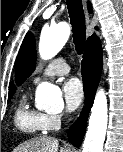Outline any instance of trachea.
Returning a JSON list of instances; mask_svg holds the SVG:
<instances>
[{"mask_svg":"<svg viewBox=\"0 0 123 152\" xmlns=\"http://www.w3.org/2000/svg\"><path fill=\"white\" fill-rule=\"evenodd\" d=\"M67 9L72 25L73 42L78 54H82L85 47V15L81 0H66Z\"/></svg>","mask_w":123,"mask_h":152,"instance_id":"1","label":"trachea"}]
</instances>
